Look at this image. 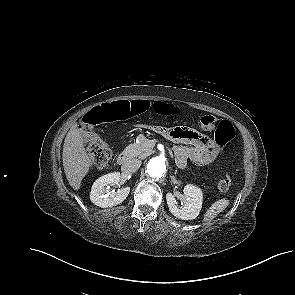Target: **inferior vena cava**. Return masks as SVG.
I'll list each match as a JSON object with an SVG mask.
<instances>
[{
  "label": "inferior vena cava",
  "mask_w": 295,
  "mask_h": 295,
  "mask_svg": "<svg viewBox=\"0 0 295 295\" xmlns=\"http://www.w3.org/2000/svg\"><path fill=\"white\" fill-rule=\"evenodd\" d=\"M140 166L141 161L139 159H129L121 166V170L124 173L130 174L137 171Z\"/></svg>",
  "instance_id": "obj_1"
}]
</instances>
